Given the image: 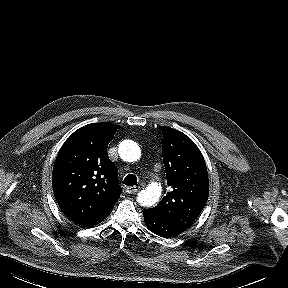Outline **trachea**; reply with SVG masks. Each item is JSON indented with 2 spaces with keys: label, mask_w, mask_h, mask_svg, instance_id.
Here are the masks:
<instances>
[{
  "label": "trachea",
  "mask_w": 288,
  "mask_h": 288,
  "mask_svg": "<svg viewBox=\"0 0 288 288\" xmlns=\"http://www.w3.org/2000/svg\"><path fill=\"white\" fill-rule=\"evenodd\" d=\"M123 183L127 186H134L137 184V177L134 174H128L124 178Z\"/></svg>",
  "instance_id": "3493384b"
}]
</instances>
